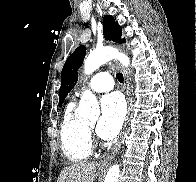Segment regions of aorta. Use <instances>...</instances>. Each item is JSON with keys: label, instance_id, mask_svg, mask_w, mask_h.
<instances>
[{"label": "aorta", "instance_id": "obj_1", "mask_svg": "<svg viewBox=\"0 0 196 182\" xmlns=\"http://www.w3.org/2000/svg\"><path fill=\"white\" fill-rule=\"evenodd\" d=\"M112 59L120 60V62L126 67L130 63L129 58L126 55L119 53L116 49L111 47H103L90 52L84 62L85 74L93 73L101 65ZM77 113L78 116L84 120L96 121L99 118V105L95 95L91 91L86 90L82 94ZM119 175L120 166L118 164H114L110 167L104 182H118Z\"/></svg>", "mask_w": 196, "mask_h": 182}]
</instances>
